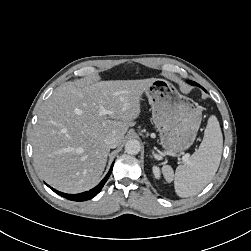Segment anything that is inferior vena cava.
<instances>
[{
  "label": "inferior vena cava",
  "mask_w": 251,
  "mask_h": 251,
  "mask_svg": "<svg viewBox=\"0 0 251 251\" xmlns=\"http://www.w3.org/2000/svg\"><path fill=\"white\" fill-rule=\"evenodd\" d=\"M104 142L109 148H116L118 146V144H119V140H118V137L116 135L107 136L105 138Z\"/></svg>",
  "instance_id": "1"
}]
</instances>
